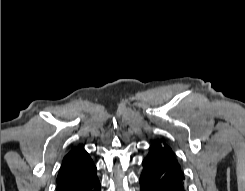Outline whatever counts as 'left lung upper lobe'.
<instances>
[{"label": "left lung upper lobe", "mask_w": 245, "mask_h": 191, "mask_svg": "<svg viewBox=\"0 0 245 191\" xmlns=\"http://www.w3.org/2000/svg\"><path fill=\"white\" fill-rule=\"evenodd\" d=\"M151 148H158L164 152L174 155L172 149L166 143L161 141H154Z\"/></svg>", "instance_id": "5c2ea615"}]
</instances>
